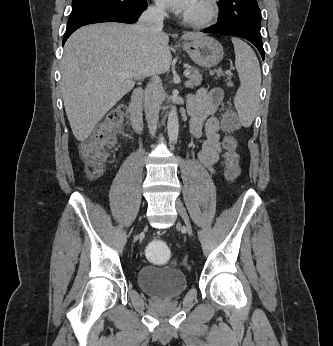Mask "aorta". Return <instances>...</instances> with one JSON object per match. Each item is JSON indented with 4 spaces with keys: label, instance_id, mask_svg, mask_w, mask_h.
Here are the masks:
<instances>
[{
    "label": "aorta",
    "instance_id": "obj_1",
    "mask_svg": "<svg viewBox=\"0 0 333 346\" xmlns=\"http://www.w3.org/2000/svg\"><path fill=\"white\" fill-rule=\"evenodd\" d=\"M167 133L170 143H175L178 138L179 133V121L177 109L175 106L171 107V110L168 115L167 121Z\"/></svg>",
    "mask_w": 333,
    "mask_h": 346
}]
</instances>
